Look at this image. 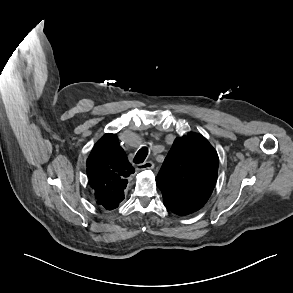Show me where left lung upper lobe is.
Masks as SVG:
<instances>
[{
	"mask_svg": "<svg viewBox=\"0 0 293 293\" xmlns=\"http://www.w3.org/2000/svg\"><path fill=\"white\" fill-rule=\"evenodd\" d=\"M218 163L217 152L202 135L177 138L156 178L163 201L190 213L201 209L216 184Z\"/></svg>",
	"mask_w": 293,
	"mask_h": 293,
	"instance_id": "5c2ea615",
	"label": "left lung upper lobe"
}]
</instances>
